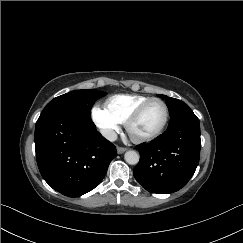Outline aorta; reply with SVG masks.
Returning a JSON list of instances; mask_svg holds the SVG:
<instances>
[{"label":"aorta","mask_w":243,"mask_h":243,"mask_svg":"<svg viewBox=\"0 0 243 243\" xmlns=\"http://www.w3.org/2000/svg\"><path fill=\"white\" fill-rule=\"evenodd\" d=\"M125 161L130 165H135L139 162V154L134 150H129L124 155Z\"/></svg>","instance_id":"obj_1"}]
</instances>
